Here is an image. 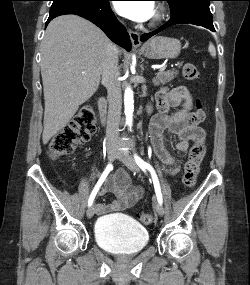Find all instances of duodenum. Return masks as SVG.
<instances>
[{
	"label": "duodenum",
	"instance_id": "duodenum-1",
	"mask_svg": "<svg viewBox=\"0 0 250 285\" xmlns=\"http://www.w3.org/2000/svg\"><path fill=\"white\" fill-rule=\"evenodd\" d=\"M99 113H100V118L102 122L106 121V117H107V101L105 98H100L99 99Z\"/></svg>",
	"mask_w": 250,
	"mask_h": 285
}]
</instances>
